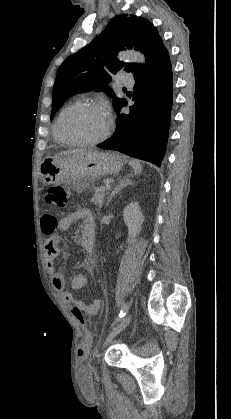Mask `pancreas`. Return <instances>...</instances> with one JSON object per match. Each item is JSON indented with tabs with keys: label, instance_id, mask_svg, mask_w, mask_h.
<instances>
[{
	"label": "pancreas",
	"instance_id": "cf45deb5",
	"mask_svg": "<svg viewBox=\"0 0 231 419\" xmlns=\"http://www.w3.org/2000/svg\"><path fill=\"white\" fill-rule=\"evenodd\" d=\"M100 188L101 187L95 188L94 197L90 200L91 202H94V204L99 208L102 207L105 196L104 192H102Z\"/></svg>",
	"mask_w": 231,
	"mask_h": 419
}]
</instances>
